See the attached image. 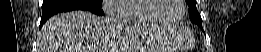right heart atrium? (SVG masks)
Here are the masks:
<instances>
[{"label":"right heart atrium","mask_w":261,"mask_h":52,"mask_svg":"<svg viewBox=\"0 0 261 52\" xmlns=\"http://www.w3.org/2000/svg\"><path fill=\"white\" fill-rule=\"evenodd\" d=\"M125 2L126 0H104L102 2V9L107 16L122 17L125 14L118 7Z\"/></svg>","instance_id":"obj_1"}]
</instances>
